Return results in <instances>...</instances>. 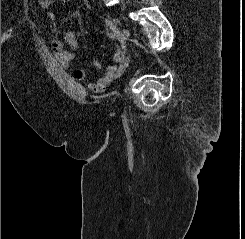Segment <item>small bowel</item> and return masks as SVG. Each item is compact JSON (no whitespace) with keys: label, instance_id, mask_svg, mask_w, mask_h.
<instances>
[{"label":"small bowel","instance_id":"small-bowel-1","mask_svg":"<svg viewBox=\"0 0 245 239\" xmlns=\"http://www.w3.org/2000/svg\"><path fill=\"white\" fill-rule=\"evenodd\" d=\"M70 0H40V5L44 9H50L54 3H68ZM49 17L51 19L55 18L53 12H49ZM78 33L69 32L65 36L64 42H62L58 36L57 31L55 30V36L53 38V50L55 57L59 65L63 69H68L72 62L77 58V50L80 48V43L78 40ZM64 44L69 46L71 51H64ZM113 63L104 67L102 75L94 82L88 84V89L94 93H100L105 91L109 84L113 82L116 78L120 77L124 71V65L122 64V54L119 51H116L112 57ZM93 68L100 70L103 68L102 63L93 59L91 61ZM72 78L75 82H82L85 79V72L82 69H75L72 73Z\"/></svg>","mask_w":245,"mask_h":239}]
</instances>
